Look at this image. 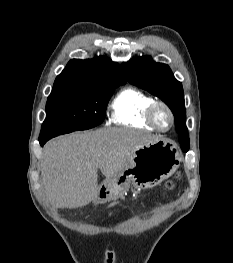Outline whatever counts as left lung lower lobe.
Here are the masks:
<instances>
[{
    "label": "left lung lower lobe",
    "mask_w": 233,
    "mask_h": 263,
    "mask_svg": "<svg viewBox=\"0 0 233 263\" xmlns=\"http://www.w3.org/2000/svg\"><path fill=\"white\" fill-rule=\"evenodd\" d=\"M180 146L184 152H187L189 150V141L185 139H179Z\"/></svg>",
    "instance_id": "0a47b994"
}]
</instances>
